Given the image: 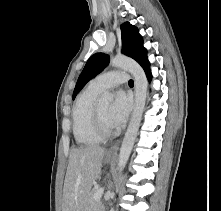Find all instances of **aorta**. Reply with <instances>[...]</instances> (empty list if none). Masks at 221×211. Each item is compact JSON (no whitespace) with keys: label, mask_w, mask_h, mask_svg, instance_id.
I'll use <instances>...</instances> for the list:
<instances>
[{"label":"aorta","mask_w":221,"mask_h":211,"mask_svg":"<svg viewBox=\"0 0 221 211\" xmlns=\"http://www.w3.org/2000/svg\"><path fill=\"white\" fill-rule=\"evenodd\" d=\"M110 66L129 71L134 77L135 84V106L118 157V170L121 172L127 164L142 120L147 96V78L136 61L124 56L111 58ZM112 101L113 94L110 92H104L100 98L103 105H108Z\"/></svg>","instance_id":"obj_1"}]
</instances>
